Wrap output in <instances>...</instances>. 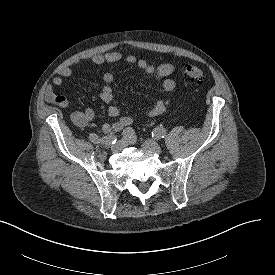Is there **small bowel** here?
<instances>
[{
  "instance_id": "1",
  "label": "small bowel",
  "mask_w": 275,
  "mask_h": 275,
  "mask_svg": "<svg viewBox=\"0 0 275 275\" xmlns=\"http://www.w3.org/2000/svg\"><path fill=\"white\" fill-rule=\"evenodd\" d=\"M91 62L95 65H103L105 63H116L122 60L129 65L136 64L137 67L149 76L155 77L161 81L162 90L165 94H171L176 88V82L170 77L174 71L175 66L171 63H164L157 67L150 64L146 60H138L134 55H129L123 58L119 52H108L104 54H96L90 58ZM73 75V70L70 67L62 68L54 76L52 84L59 86L63 83L64 79ZM104 86L100 92V98L106 103L113 101L114 95L112 84L114 76L111 73H105L102 77ZM53 85H48L46 88L45 99L48 103L62 107L69 108V100L54 91ZM167 109V102L164 99L158 100L146 113L147 117H156L164 113ZM108 116L117 118L114 122L105 123L102 126L104 133L119 132L124 128L133 124L134 119L131 116H120V108L112 105L108 108ZM71 121L79 127L86 126L94 119V111L92 109H85L75 111L70 116Z\"/></svg>"
}]
</instances>
